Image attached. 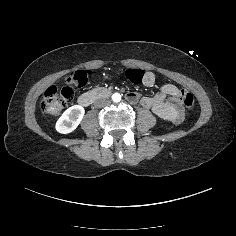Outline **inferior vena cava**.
Returning a JSON list of instances; mask_svg holds the SVG:
<instances>
[{
  "instance_id": "1",
  "label": "inferior vena cava",
  "mask_w": 236,
  "mask_h": 236,
  "mask_svg": "<svg viewBox=\"0 0 236 236\" xmlns=\"http://www.w3.org/2000/svg\"><path fill=\"white\" fill-rule=\"evenodd\" d=\"M110 104V101L106 98H101V99H98L94 102V106L96 108H102L104 106H107Z\"/></svg>"
}]
</instances>
